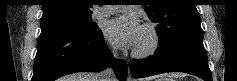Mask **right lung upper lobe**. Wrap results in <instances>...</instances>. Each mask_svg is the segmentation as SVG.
I'll return each instance as SVG.
<instances>
[{
	"label": "right lung upper lobe",
	"mask_w": 237,
	"mask_h": 81,
	"mask_svg": "<svg viewBox=\"0 0 237 81\" xmlns=\"http://www.w3.org/2000/svg\"><path fill=\"white\" fill-rule=\"evenodd\" d=\"M92 0H44L41 19L92 14Z\"/></svg>",
	"instance_id": "right-lung-upper-lobe-1"
}]
</instances>
